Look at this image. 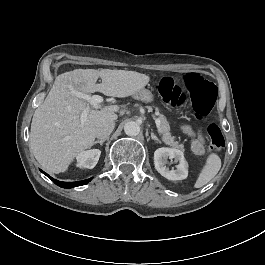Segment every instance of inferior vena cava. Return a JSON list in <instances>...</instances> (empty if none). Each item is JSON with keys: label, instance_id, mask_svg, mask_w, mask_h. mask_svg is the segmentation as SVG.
I'll list each match as a JSON object with an SVG mask.
<instances>
[{"label": "inferior vena cava", "instance_id": "obj_1", "mask_svg": "<svg viewBox=\"0 0 265 265\" xmlns=\"http://www.w3.org/2000/svg\"><path fill=\"white\" fill-rule=\"evenodd\" d=\"M115 128V123L110 120L101 121L95 128L96 136L105 139L110 136Z\"/></svg>", "mask_w": 265, "mask_h": 265}]
</instances>
